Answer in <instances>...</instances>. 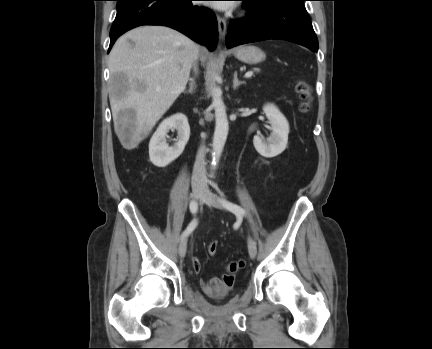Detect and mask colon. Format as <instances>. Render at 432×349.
<instances>
[{"label": "colon", "instance_id": "obj_1", "mask_svg": "<svg viewBox=\"0 0 432 349\" xmlns=\"http://www.w3.org/2000/svg\"><path fill=\"white\" fill-rule=\"evenodd\" d=\"M296 91L301 99L300 110L304 113L308 112L311 107L312 91L310 85L304 80H299L296 83ZM218 243L213 241L208 246V252L210 255L217 253ZM244 262L242 260L231 262L227 266L229 274H235L241 268H243Z\"/></svg>", "mask_w": 432, "mask_h": 349}]
</instances>
